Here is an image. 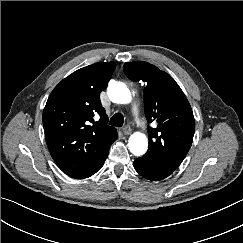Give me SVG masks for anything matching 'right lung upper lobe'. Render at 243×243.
Here are the masks:
<instances>
[{
    "label": "right lung upper lobe",
    "instance_id": "cb5924a9",
    "mask_svg": "<svg viewBox=\"0 0 243 243\" xmlns=\"http://www.w3.org/2000/svg\"><path fill=\"white\" fill-rule=\"evenodd\" d=\"M115 68V62L81 68L63 79L47 100L43 110L45 139L52 158L70 177L92 170L117 139L100 101ZM95 114L100 115L97 122Z\"/></svg>",
    "mask_w": 243,
    "mask_h": 243
}]
</instances>
